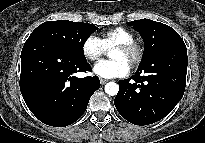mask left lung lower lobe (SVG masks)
I'll use <instances>...</instances> for the list:
<instances>
[{"instance_id":"obj_1","label":"left lung lower lobe","mask_w":205,"mask_h":143,"mask_svg":"<svg viewBox=\"0 0 205 143\" xmlns=\"http://www.w3.org/2000/svg\"><path fill=\"white\" fill-rule=\"evenodd\" d=\"M162 61L166 63L160 67ZM156 63L119 81L114 104L132 124L143 126L161 120L183 97L187 74V49L183 40L165 46L156 54Z\"/></svg>"}]
</instances>
